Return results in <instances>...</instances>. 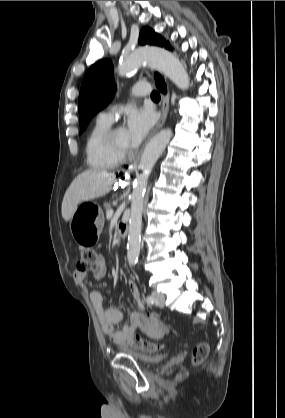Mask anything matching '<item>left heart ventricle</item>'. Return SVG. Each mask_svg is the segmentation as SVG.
I'll list each match as a JSON object with an SVG mask.
<instances>
[{"label":"left heart ventricle","instance_id":"obj_1","mask_svg":"<svg viewBox=\"0 0 285 418\" xmlns=\"http://www.w3.org/2000/svg\"><path fill=\"white\" fill-rule=\"evenodd\" d=\"M114 144L119 148H125L128 146V135L124 128L118 127L114 132L113 137Z\"/></svg>","mask_w":285,"mask_h":418}]
</instances>
